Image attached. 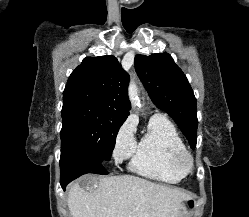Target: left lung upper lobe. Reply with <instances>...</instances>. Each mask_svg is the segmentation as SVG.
<instances>
[{
  "instance_id": "1",
  "label": "left lung upper lobe",
  "mask_w": 249,
  "mask_h": 217,
  "mask_svg": "<svg viewBox=\"0 0 249 217\" xmlns=\"http://www.w3.org/2000/svg\"><path fill=\"white\" fill-rule=\"evenodd\" d=\"M135 69L153 103L174 119L191 148H195L196 98L182 70L167 53L137 55Z\"/></svg>"
}]
</instances>
